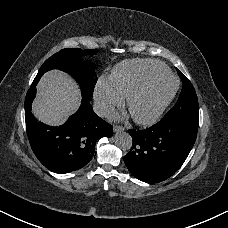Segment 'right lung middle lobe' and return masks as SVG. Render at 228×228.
Here are the masks:
<instances>
[{"label":"right lung middle lobe","mask_w":228,"mask_h":228,"mask_svg":"<svg viewBox=\"0 0 228 228\" xmlns=\"http://www.w3.org/2000/svg\"><path fill=\"white\" fill-rule=\"evenodd\" d=\"M94 50L83 52L79 48H67L54 54L47 59L36 76L40 79L41 76L51 70L59 69L71 74L79 83L82 93V98L90 101L93 95V89L97 82V77L94 68L87 63L81 61V57L86 54H95Z\"/></svg>","instance_id":"dd1d6c3e"}]
</instances>
